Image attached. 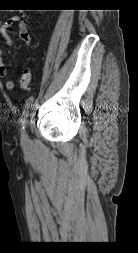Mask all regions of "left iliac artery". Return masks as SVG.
I'll return each mask as SVG.
<instances>
[{"mask_svg":"<svg viewBox=\"0 0 138 253\" xmlns=\"http://www.w3.org/2000/svg\"><path fill=\"white\" fill-rule=\"evenodd\" d=\"M33 101H34V97H33V96L29 97V98L27 99V101H26L25 109H24V111H23L22 119H21V123H22V125H23V127H22L23 129H24V125H25L26 122H27V117L29 116V109H30V107L32 106Z\"/></svg>","mask_w":138,"mask_h":253,"instance_id":"left-iliac-artery-1","label":"left iliac artery"}]
</instances>
